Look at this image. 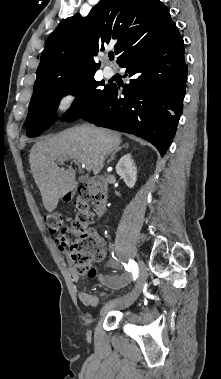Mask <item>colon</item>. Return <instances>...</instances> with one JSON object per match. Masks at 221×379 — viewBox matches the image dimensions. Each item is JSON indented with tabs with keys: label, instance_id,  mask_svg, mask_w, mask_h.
<instances>
[{
	"label": "colon",
	"instance_id": "colon-1",
	"mask_svg": "<svg viewBox=\"0 0 221 379\" xmlns=\"http://www.w3.org/2000/svg\"><path fill=\"white\" fill-rule=\"evenodd\" d=\"M103 197L102 190L81 189L74 202L75 217L68 226H63V217L59 213H47L43 217L49 232L56 236L59 246L68 248L75 270L82 275L88 272L93 262L100 260L104 255L99 247L98 236L91 228L93 220L91 207Z\"/></svg>",
	"mask_w": 221,
	"mask_h": 379
}]
</instances>
